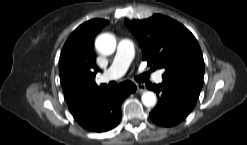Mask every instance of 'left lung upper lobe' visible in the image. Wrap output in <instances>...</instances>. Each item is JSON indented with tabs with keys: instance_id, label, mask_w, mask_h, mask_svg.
<instances>
[{
	"instance_id": "left-lung-upper-lobe-1",
	"label": "left lung upper lobe",
	"mask_w": 247,
	"mask_h": 145,
	"mask_svg": "<svg viewBox=\"0 0 247 145\" xmlns=\"http://www.w3.org/2000/svg\"><path fill=\"white\" fill-rule=\"evenodd\" d=\"M125 24L140 43L143 60L148 65L165 68L163 79H173L201 90L204 60L193 34L177 21L154 14L145 20Z\"/></svg>"
}]
</instances>
